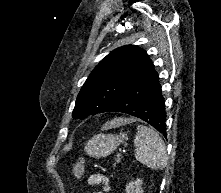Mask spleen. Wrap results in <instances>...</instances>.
Segmentation results:
<instances>
[{"instance_id": "spleen-1", "label": "spleen", "mask_w": 221, "mask_h": 193, "mask_svg": "<svg viewBox=\"0 0 221 193\" xmlns=\"http://www.w3.org/2000/svg\"><path fill=\"white\" fill-rule=\"evenodd\" d=\"M135 158L153 170H163L167 165L166 147L159 134L150 127L139 125L134 139Z\"/></svg>"}]
</instances>
